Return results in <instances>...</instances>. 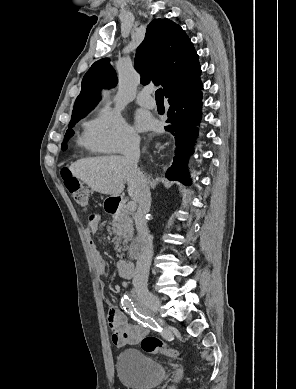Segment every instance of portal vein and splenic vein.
<instances>
[{
  "label": "portal vein and splenic vein",
  "mask_w": 296,
  "mask_h": 389,
  "mask_svg": "<svg viewBox=\"0 0 296 389\" xmlns=\"http://www.w3.org/2000/svg\"><path fill=\"white\" fill-rule=\"evenodd\" d=\"M126 208H127V210H129V211H134V210H136V208H137V204H136V202H134V201H130V202L127 203Z\"/></svg>",
  "instance_id": "portal-vein-and-splenic-vein-1"
}]
</instances>
